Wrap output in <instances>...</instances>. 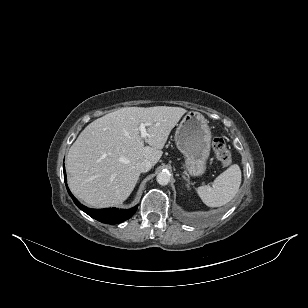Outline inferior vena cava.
<instances>
[{"label":"inferior vena cava","mask_w":308,"mask_h":308,"mask_svg":"<svg viewBox=\"0 0 308 308\" xmlns=\"http://www.w3.org/2000/svg\"><path fill=\"white\" fill-rule=\"evenodd\" d=\"M136 168L139 172L144 173L148 172L152 168V163L145 159L136 164Z\"/></svg>","instance_id":"602c4592"}]
</instances>
